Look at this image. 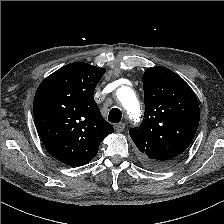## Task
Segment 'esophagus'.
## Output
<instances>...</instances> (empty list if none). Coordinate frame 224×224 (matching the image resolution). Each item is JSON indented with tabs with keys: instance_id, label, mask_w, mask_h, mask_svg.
I'll return each instance as SVG.
<instances>
[{
	"instance_id": "obj_1",
	"label": "esophagus",
	"mask_w": 224,
	"mask_h": 224,
	"mask_svg": "<svg viewBox=\"0 0 224 224\" xmlns=\"http://www.w3.org/2000/svg\"><path fill=\"white\" fill-rule=\"evenodd\" d=\"M114 128H115L116 132L120 133V132H122L124 130L125 124L124 123L116 124L114 126Z\"/></svg>"
}]
</instances>
